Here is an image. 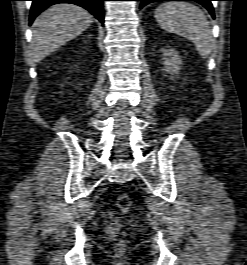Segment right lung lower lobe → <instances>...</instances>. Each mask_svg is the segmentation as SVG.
Wrapping results in <instances>:
<instances>
[{"mask_svg": "<svg viewBox=\"0 0 247 265\" xmlns=\"http://www.w3.org/2000/svg\"><path fill=\"white\" fill-rule=\"evenodd\" d=\"M30 24L47 7L57 3H72L87 9L102 24L104 23L103 2L105 0H31Z\"/></svg>", "mask_w": 247, "mask_h": 265, "instance_id": "right-lung-lower-lobe-1", "label": "right lung lower lobe"}]
</instances>
